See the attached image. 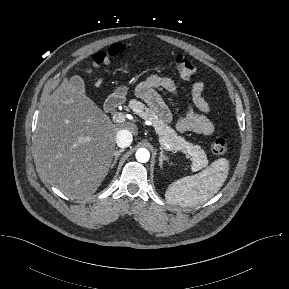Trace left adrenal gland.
I'll use <instances>...</instances> for the list:
<instances>
[{"mask_svg": "<svg viewBox=\"0 0 289 289\" xmlns=\"http://www.w3.org/2000/svg\"><path fill=\"white\" fill-rule=\"evenodd\" d=\"M160 157H159V166L162 169L163 168V162L167 160V157L164 154L163 148H160Z\"/></svg>", "mask_w": 289, "mask_h": 289, "instance_id": "left-adrenal-gland-1", "label": "left adrenal gland"}]
</instances>
